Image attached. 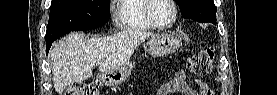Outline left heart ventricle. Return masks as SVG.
<instances>
[{
	"instance_id": "obj_1",
	"label": "left heart ventricle",
	"mask_w": 277,
	"mask_h": 95,
	"mask_svg": "<svg viewBox=\"0 0 277 95\" xmlns=\"http://www.w3.org/2000/svg\"><path fill=\"white\" fill-rule=\"evenodd\" d=\"M150 12L156 21L165 23L169 21L172 16L173 7L167 0H155Z\"/></svg>"
}]
</instances>
